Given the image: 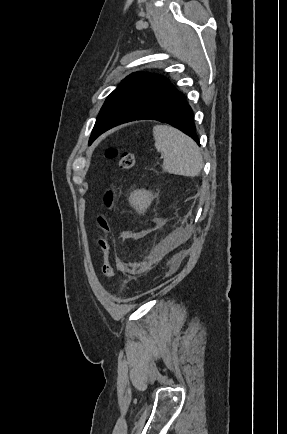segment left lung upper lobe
I'll use <instances>...</instances> for the list:
<instances>
[{
  "label": "left lung upper lobe",
  "instance_id": "5c2ea615",
  "mask_svg": "<svg viewBox=\"0 0 287 434\" xmlns=\"http://www.w3.org/2000/svg\"><path fill=\"white\" fill-rule=\"evenodd\" d=\"M177 89L164 77L135 72L108 96L97 117L89 144L104 131L125 123L137 111L160 101Z\"/></svg>",
  "mask_w": 287,
  "mask_h": 434
}]
</instances>
